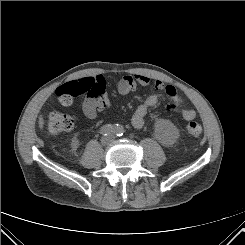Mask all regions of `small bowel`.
<instances>
[{
	"label": "small bowel",
	"mask_w": 245,
	"mask_h": 245,
	"mask_svg": "<svg viewBox=\"0 0 245 245\" xmlns=\"http://www.w3.org/2000/svg\"><path fill=\"white\" fill-rule=\"evenodd\" d=\"M87 79L94 82L98 89V95L85 98L82 103V111L87 118L93 119L97 116L98 112L111 110V104L105 92L104 77L102 75H95L87 77ZM138 86L149 88L155 92L150 93L134 111L131 117V124L134 128L140 129L144 126L147 113L151 108L155 107L160 100L161 96L158 93L160 91H162L167 98L169 108L182 107L184 105V100L178 95L175 88L172 85H164V83L158 79H151L142 74H134L123 76L117 82V90L121 95H127L133 92ZM196 115V111L193 109H182V117L187 121L195 119Z\"/></svg>",
	"instance_id": "small-bowel-1"
}]
</instances>
